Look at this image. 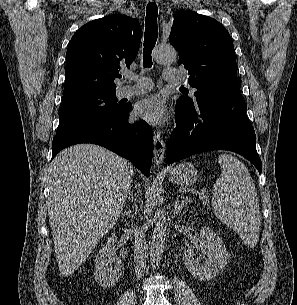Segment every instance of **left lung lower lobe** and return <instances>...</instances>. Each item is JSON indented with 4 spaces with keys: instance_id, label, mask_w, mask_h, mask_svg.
<instances>
[{
    "instance_id": "obj_1",
    "label": "left lung lower lobe",
    "mask_w": 297,
    "mask_h": 305,
    "mask_svg": "<svg viewBox=\"0 0 297 305\" xmlns=\"http://www.w3.org/2000/svg\"><path fill=\"white\" fill-rule=\"evenodd\" d=\"M175 113L176 128L167 144V163L196 153L229 150L245 157L261 173L254 128L247 118L239 86L218 92L194 106L177 101Z\"/></svg>"
}]
</instances>
